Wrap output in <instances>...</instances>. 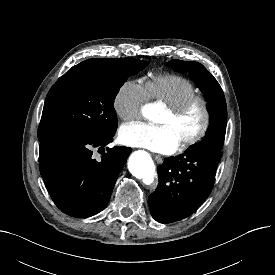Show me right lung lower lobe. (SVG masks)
<instances>
[{"instance_id":"98d812e1","label":"right lung lower lobe","mask_w":275,"mask_h":275,"mask_svg":"<svg viewBox=\"0 0 275 275\" xmlns=\"http://www.w3.org/2000/svg\"><path fill=\"white\" fill-rule=\"evenodd\" d=\"M113 134L64 138L40 143L39 167L56 206L69 216L86 218L107 205L115 182L131 152L129 147L106 148ZM103 151L95 159L93 150Z\"/></svg>"}]
</instances>
